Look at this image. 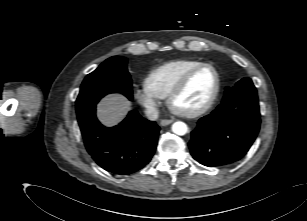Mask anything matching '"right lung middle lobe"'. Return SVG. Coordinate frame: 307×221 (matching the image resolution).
<instances>
[{"mask_svg": "<svg viewBox=\"0 0 307 221\" xmlns=\"http://www.w3.org/2000/svg\"><path fill=\"white\" fill-rule=\"evenodd\" d=\"M113 92H120L132 100V81L127 71V59L121 56L110 57L86 76L76 100L77 116Z\"/></svg>", "mask_w": 307, "mask_h": 221, "instance_id": "obj_1", "label": "right lung middle lobe"}]
</instances>
